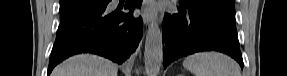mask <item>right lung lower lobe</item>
Returning <instances> with one entry per match:
<instances>
[{
    "mask_svg": "<svg viewBox=\"0 0 287 76\" xmlns=\"http://www.w3.org/2000/svg\"><path fill=\"white\" fill-rule=\"evenodd\" d=\"M111 0H99L91 8L61 22L50 55L48 74L71 55L90 52L122 64L136 50L142 36V18L134 19L132 12L142 0H127L130 13H108Z\"/></svg>",
    "mask_w": 287,
    "mask_h": 76,
    "instance_id": "obj_1",
    "label": "right lung lower lobe"
}]
</instances>
